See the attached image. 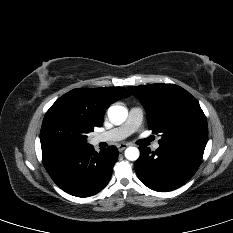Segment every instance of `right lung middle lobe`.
<instances>
[{
	"label": "right lung middle lobe",
	"instance_id": "right-lung-middle-lobe-1",
	"mask_svg": "<svg viewBox=\"0 0 233 233\" xmlns=\"http://www.w3.org/2000/svg\"><path fill=\"white\" fill-rule=\"evenodd\" d=\"M94 126L72 112L65 103L55 102L46 112L41 132V146L65 144L83 146Z\"/></svg>",
	"mask_w": 233,
	"mask_h": 233
}]
</instances>
